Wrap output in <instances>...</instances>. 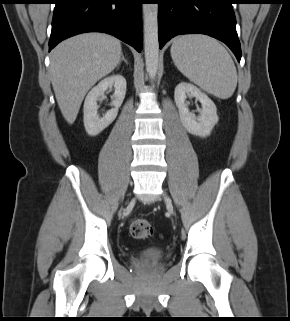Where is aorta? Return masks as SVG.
Returning <instances> with one entry per match:
<instances>
[{"instance_id": "1", "label": "aorta", "mask_w": 290, "mask_h": 321, "mask_svg": "<svg viewBox=\"0 0 290 321\" xmlns=\"http://www.w3.org/2000/svg\"><path fill=\"white\" fill-rule=\"evenodd\" d=\"M143 15L146 70L153 82L158 72L159 63L158 4H144Z\"/></svg>"}]
</instances>
